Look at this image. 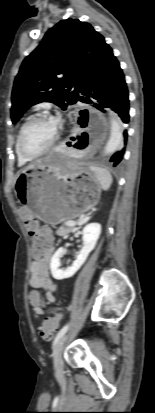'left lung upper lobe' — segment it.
Returning a JSON list of instances; mask_svg holds the SVG:
<instances>
[{
  "instance_id": "5c2ea615",
  "label": "left lung upper lobe",
  "mask_w": 155,
  "mask_h": 413,
  "mask_svg": "<svg viewBox=\"0 0 155 413\" xmlns=\"http://www.w3.org/2000/svg\"><path fill=\"white\" fill-rule=\"evenodd\" d=\"M107 45L89 23L78 19L62 20L49 29L40 45L24 59L15 78L12 123L18 122L30 106L43 101L63 110L76 103L83 80Z\"/></svg>"
}]
</instances>
